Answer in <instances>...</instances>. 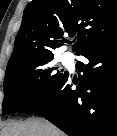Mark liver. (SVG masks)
<instances>
[{
	"label": "liver",
	"instance_id": "1",
	"mask_svg": "<svg viewBox=\"0 0 117 136\" xmlns=\"http://www.w3.org/2000/svg\"><path fill=\"white\" fill-rule=\"evenodd\" d=\"M5 136H65L54 125L43 119H29L11 123L3 130Z\"/></svg>",
	"mask_w": 117,
	"mask_h": 136
}]
</instances>
